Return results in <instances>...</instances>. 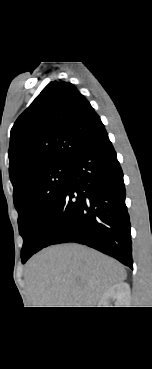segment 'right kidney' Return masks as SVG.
I'll return each mask as SVG.
<instances>
[{"instance_id":"1","label":"right kidney","mask_w":152,"mask_h":369,"mask_svg":"<svg viewBox=\"0 0 152 369\" xmlns=\"http://www.w3.org/2000/svg\"><path fill=\"white\" fill-rule=\"evenodd\" d=\"M129 307L130 304V286L126 282H121L110 287L101 297L98 307Z\"/></svg>"}]
</instances>
